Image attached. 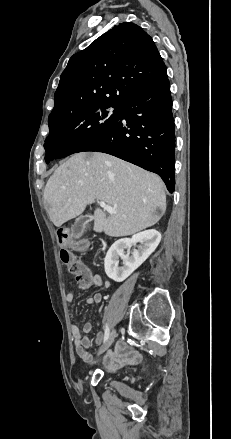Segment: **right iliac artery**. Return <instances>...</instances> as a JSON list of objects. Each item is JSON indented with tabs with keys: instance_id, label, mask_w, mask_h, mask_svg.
Returning a JSON list of instances; mask_svg holds the SVG:
<instances>
[{
	"instance_id": "right-iliac-artery-1",
	"label": "right iliac artery",
	"mask_w": 231,
	"mask_h": 439,
	"mask_svg": "<svg viewBox=\"0 0 231 439\" xmlns=\"http://www.w3.org/2000/svg\"><path fill=\"white\" fill-rule=\"evenodd\" d=\"M109 334H110V330H109L108 325H106L105 333H104V342H106V340L108 339Z\"/></svg>"
}]
</instances>
